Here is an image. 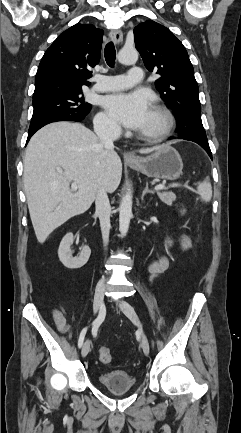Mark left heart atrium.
<instances>
[{"instance_id":"1","label":"left heart atrium","mask_w":241,"mask_h":433,"mask_svg":"<svg viewBox=\"0 0 241 433\" xmlns=\"http://www.w3.org/2000/svg\"><path fill=\"white\" fill-rule=\"evenodd\" d=\"M103 104L111 117L133 130L144 128L152 110L149 98L140 92L111 94Z\"/></svg>"}]
</instances>
